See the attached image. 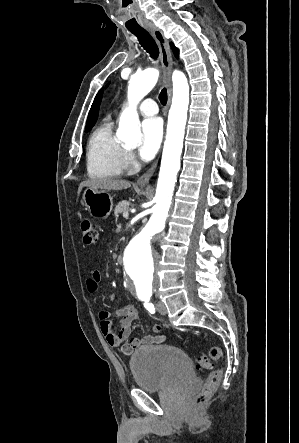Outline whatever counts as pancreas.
I'll return each instance as SVG.
<instances>
[{
	"label": "pancreas",
	"mask_w": 299,
	"mask_h": 443,
	"mask_svg": "<svg viewBox=\"0 0 299 443\" xmlns=\"http://www.w3.org/2000/svg\"><path fill=\"white\" fill-rule=\"evenodd\" d=\"M129 206H130V203L128 201L119 202L114 209L115 216L118 217L119 214H122L124 212H128Z\"/></svg>",
	"instance_id": "1"
}]
</instances>
